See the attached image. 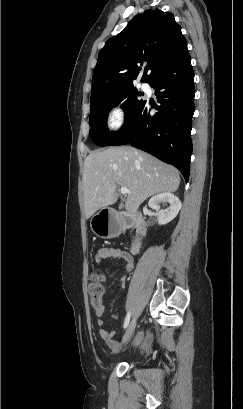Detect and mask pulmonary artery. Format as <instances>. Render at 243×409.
I'll use <instances>...</instances> for the list:
<instances>
[{
	"instance_id": "obj_1",
	"label": "pulmonary artery",
	"mask_w": 243,
	"mask_h": 409,
	"mask_svg": "<svg viewBox=\"0 0 243 409\" xmlns=\"http://www.w3.org/2000/svg\"><path fill=\"white\" fill-rule=\"evenodd\" d=\"M141 88H142L143 90H146V89H148V85H147L146 83H142V84H141Z\"/></svg>"
}]
</instances>
